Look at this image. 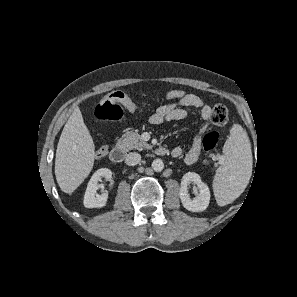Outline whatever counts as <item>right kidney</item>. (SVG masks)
Masks as SVG:
<instances>
[{
	"label": "right kidney",
	"mask_w": 297,
	"mask_h": 297,
	"mask_svg": "<svg viewBox=\"0 0 297 297\" xmlns=\"http://www.w3.org/2000/svg\"><path fill=\"white\" fill-rule=\"evenodd\" d=\"M105 178L108 181L112 182V172L107 168H102L97 170L91 177L88 182L87 189L85 191L83 204L86 208H102L106 205L108 200V192H105L101 195H97L96 191L98 190V182Z\"/></svg>",
	"instance_id": "ca27d5eb"
}]
</instances>
